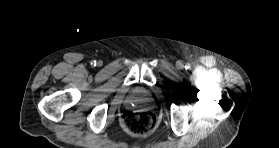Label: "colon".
Returning <instances> with one entry per match:
<instances>
[{
  "instance_id": "obj_1",
  "label": "colon",
  "mask_w": 279,
  "mask_h": 148,
  "mask_svg": "<svg viewBox=\"0 0 279 148\" xmlns=\"http://www.w3.org/2000/svg\"><path fill=\"white\" fill-rule=\"evenodd\" d=\"M125 131L132 135H144L153 131L157 125L154 113L142 110L126 111L121 119Z\"/></svg>"
}]
</instances>
